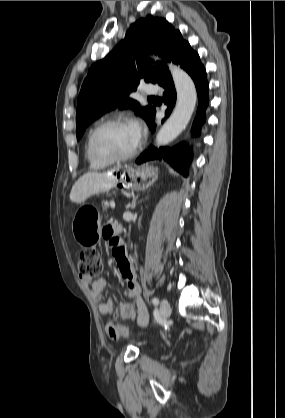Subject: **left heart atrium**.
Wrapping results in <instances>:
<instances>
[{
  "label": "left heart atrium",
  "instance_id": "left-heart-atrium-1",
  "mask_svg": "<svg viewBox=\"0 0 285 418\" xmlns=\"http://www.w3.org/2000/svg\"><path fill=\"white\" fill-rule=\"evenodd\" d=\"M127 125L132 131L135 139L138 141L143 129L141 121L139 119H131Z\"/></svg>",
  "mask_w": 285,
  "mask_h": 418
}]
</instances>
